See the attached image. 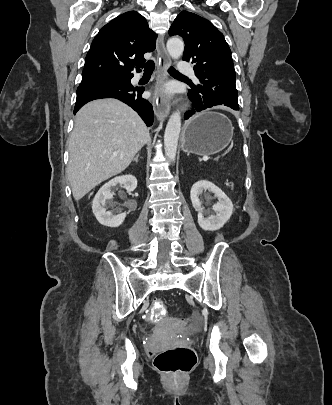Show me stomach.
I'll return each instance as SVG.
<instances>
[{
  "mask_svg": "<svg viewBox=\"0 0 332 405\" xmlns=\"http://www.w3.org/2000/svg\"><path fill=\"white\" fill-rule=\"evenodd\" d=\"M232 136L229 119L221 113L206 110L186 123L182 147L188 154L210 156L226 148Z\"/></svg>",
  "mask_w": 332,
  "mask_h": 405,
  "instance_id": "stomach-1",
  "label": "stomach"
}]
</instances>
